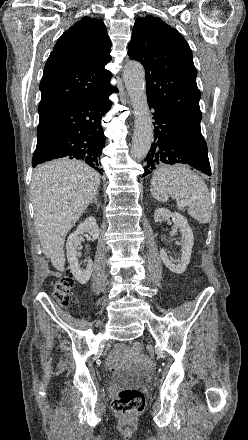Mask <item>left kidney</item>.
<instances>
[{
  "label": "left kidney",
  "mask_w": 248,
  "mask_h": 440,
  "mask_svg": "<svg viewBox=\"0 0 248 440\" xmlns=\"http://www.w3.org/2000/svg\"><path fill=\"white\" fill-rule=\"evenodd\" d=\"M169 218H172L174 225L180 229L182 234L181 258L178 261H174L167 255L165 249L160 251V257L169 270L176 274H181L186 270L190 262L191 251L194 244L193 232L186 218L180 213H172L164 208L157 209L154 212V221L156 223L166 221Z\"/></svg>",
  "instance_id": "5707ae66"
}]
</instances>
